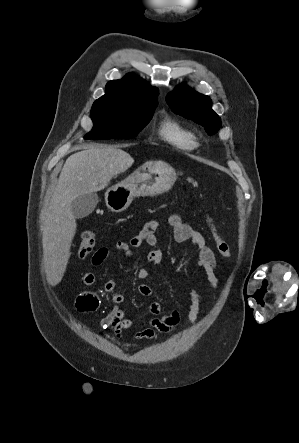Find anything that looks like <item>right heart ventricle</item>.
Masks as SVG:
<instances>
[{
  "label": "right heart ventricle",
  "instance_id": "obj_1",
  "mask_svg": "<svg viewBox=\"0 0 299 443\" xmlns=\"http://www.w3.org/2000/svg\"><path fill=\"white\" fill-rule=\"evenodd\" d=\"M158 135L165 143L180 151H193L199 144L193 130L171 118L160 123Z\"/></svg>",
  "mask_w": 299,
  "mask_h": 443
}]
</instances>
